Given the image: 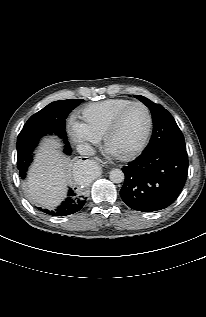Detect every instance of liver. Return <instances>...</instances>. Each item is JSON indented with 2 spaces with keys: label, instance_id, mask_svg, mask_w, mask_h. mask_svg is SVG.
<instances>
[{
  "label": "liver",
  "instance_id": "1",
  "mask_svg": "<svg viewBox=\"0 0 206 317\" xmlns=\"http://www.w3.org/2000/svg\"><path fill=\"white\" fill-rule=\"evenodd\" d=\"M59 144L46 139L30 169L26 186L31 200L48 209L66 197V186L71 181V162L57 150Z\"/></svg>",
  "mask_w": 206,
  "mask_h": 317
}]
</instances>
